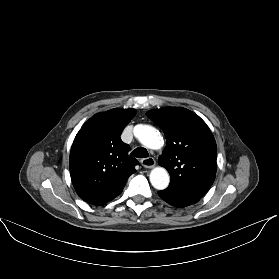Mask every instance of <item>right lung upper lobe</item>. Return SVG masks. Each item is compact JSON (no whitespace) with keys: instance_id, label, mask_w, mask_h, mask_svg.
<instances>
[{"instance_id":"cb5924a9","label":"right lung upper lobe","mask_w":279,"mask_h":279,"mask_svg":"<svg viewBox=\"0 0 279 279\" xmlns=\"http://www.w3.org/2000/svg\"><path fill=\"white\" fill-rule=\"evenodd\" d=\"M133 108H115L90 118L77 133L71 147L69 168L78 196L93 205L117 197L138 161L120 135L135 116Z\"/></svg>"}]
</instances>
